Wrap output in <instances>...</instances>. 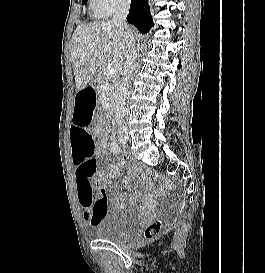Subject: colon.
I'll return each instance as SVG.
<instances>
[{"instance_id": "1", "label": "colon", "mask_w": 265, "mask_h": 273, "mask_svg": "<svg viewBox=\"0 0 265 273\" xmlns=\"http://www.w3.org/2000/svg\"><path fill=\"white\" fill-rule=\"evenodd\" d=\"M84 135L87 138L92 139L91 134L89 132H85ZM100 208H101V204H97L96 210L98 211ZM163 227H164V225L161 222H155V223L150 224L144 230V234H143L144 239L151 240V239L155 238L163 230Z\"/></svg>"}]
</instances>
